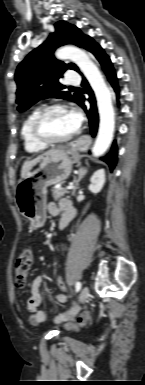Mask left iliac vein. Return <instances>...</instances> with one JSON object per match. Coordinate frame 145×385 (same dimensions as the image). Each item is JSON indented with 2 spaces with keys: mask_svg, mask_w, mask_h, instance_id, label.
Instances as JSON below:
<instances>
[{
  "mask_svg": "<svg viewBox=\"0 0 145 385\" xmlns=\"http://www.w3.org/2000/svg\"><path fill=\"white\" fill-rule=\"evenodd\" d=\"M89 296V288L87 286L83 287L78 296V303L81 304L87 300Z\"/></svg>",
  "mask_w": 145,
  "mask_h": 385,
  "instance_id": "4c4485c4",
  "label": "left iliac vein"
}]
</instances>
